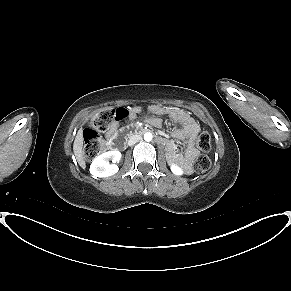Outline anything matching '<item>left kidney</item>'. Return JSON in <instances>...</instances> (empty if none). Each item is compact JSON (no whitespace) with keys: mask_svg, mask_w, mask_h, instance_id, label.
I'll list each match as a JSON object with an SVG mask.
<instances>
[{"mask_svg":"<svg viewBox=\"0 0 291 291\" xmlns=\"http://www.w3.org/2000/svg\"><path fill=\"white\" fill-rule=\"evenodd\" d=\"M171 171L175 174V175H182L183 174V169L177 165H171Z\"/></svg>","mask_w":291,"mask_h":291,"instance_id":"5707ae66","label":"left kidney"}]
</instances>
